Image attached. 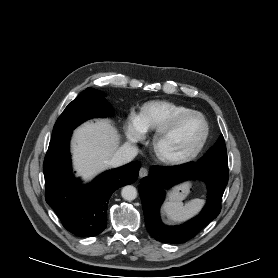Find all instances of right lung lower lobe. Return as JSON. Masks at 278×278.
<instances>
[{
  "label": "right lung lower lobe",
  "instance_id": "1",
  "mask_svg": "<svg viewBox=\"0 0 278 278\" xmlns=\"http://www.w3.org/2000/svg\"><path fill=\"white\" fill-rule=\"evenodd\" d=\"M71 134L72 131L50 141L43 164L45 199L68 231L80 237H92L106 228L108 201L112 193L135 182L141 164L131 162L82 186L72 175Z\"/></svg>",
  "mask_w": 278,
  "mask_h": 278
}]
</instances>
